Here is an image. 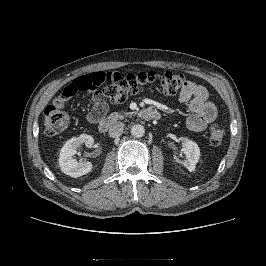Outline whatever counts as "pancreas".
I'll use <instances>...</instances> for the list:
<instances>
[{
    "instance_id": "obj_1",
    "label": "pancreas",
    "mask_w": 266,
    "mask_h": 266,
    "mask_svg": "<svg viewBox=\"0 0 266 266\" xmlns=\"http://www.w3.org/2000/svg\"><path fill=\"white\" fill-rule=\"evenodd\" d=\"M125 115L133 114V112H125Z\"/></svg>"
}]
</instances>
